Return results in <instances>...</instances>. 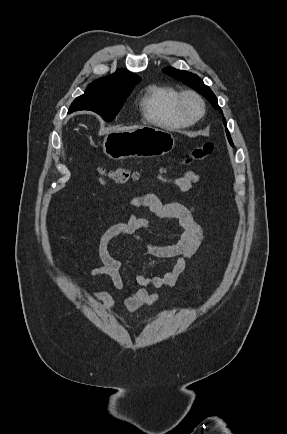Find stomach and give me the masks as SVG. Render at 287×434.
Instances as JSON below:
<instances>
[{
	"mask_svg": "<svg viewBox=\"0 0 287 434\" xmlns=\"http://www.w3.org/2000/svg\"><path fill=\"white\" fill-rule=\"evenodd\" d=\"M175 145L173 135L153 126L133 130H113L103 141V152L114 160L149 158L169 153Z\"/></svg>",
	"mask_w": 287,
	"mask_h": 434,
	"instance_id": "obj_1",
	"label": "stomach"
}]
</instances>
